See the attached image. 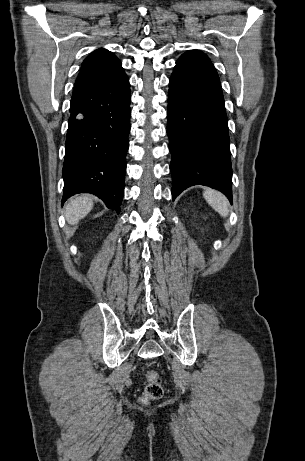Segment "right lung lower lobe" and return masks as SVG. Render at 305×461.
<instances>
[{
    "mask_svg": "<svg viewBox=\"0 0 305 461\" xmlns=\"http://www.w3.org/2000/svg\"><path fill=\"white\" fill-rule=\"evenodd\" d=\"M130 84L123 72L73 89L63 165L62 204L92 193L120 212L130 131Z\"/></svg>",
    "mask_w": 305,
    "mask_h": 461,
    "instance_id": "1",
    "label": "right lung lower lobe"
}]
</instances>
